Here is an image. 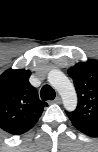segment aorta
<instances>
[{
	"instance_id": "1",
	"label": "aorta",
	"mask_w": 98,
	"mask_h": 152,
	"mask_svg": "<svg viewBox=\"0 0 98 152\" xmlns=\"http://www.w3.org/2000/svg\"><path fill=\"white\" fill-rule=\"evenodd\" d=\"M48 82L58 91L66 110L73 111L77 106V94L68 77L59 70L48 73Z\"/></svg>"
}]
</instances>
